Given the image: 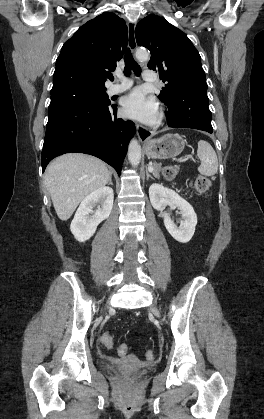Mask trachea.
Wrapping results in <instances>:
<instances>
[{"mask_svg":"<svg viewBox=\"0 0 264 419\" xmlns=\"http://www.w3.org/2000/svg\"><path fill=\"white\" fill-rule=\"evenodd\" d=\"M124 59H125L124 75L128 77L131 74V70H133L136 76H140L141 67L134 60L130 49H127Z\"/></svg>","mask_w":264,"mask_h":419,"instance_id":"trachea-1","label":"trachea"}]
</instances>
